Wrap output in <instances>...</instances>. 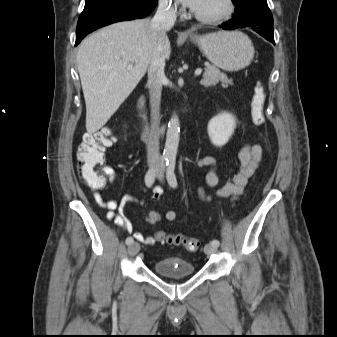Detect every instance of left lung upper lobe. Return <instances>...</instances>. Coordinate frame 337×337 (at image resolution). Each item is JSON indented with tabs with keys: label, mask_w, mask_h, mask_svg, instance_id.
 Instances as JSON below:
<instances>
[{
	"label": "left lung upper lobe",
	"mask_w": 337,
	"mask_h": 337,
	"mask_svg": "<svg viewBox=\"0 0 337 337\" xmlns=\"http://www.w3.org/2000/svg\"><path fill=\"white\" fill-rule=\"evenodd\" d=\"M235 5L234 16L248 12L261 11L266 17H272L266 0H232Z\"/></svg>",
	"instance_id": "left-lung-upper-lobe-1"
}]
</instances>
